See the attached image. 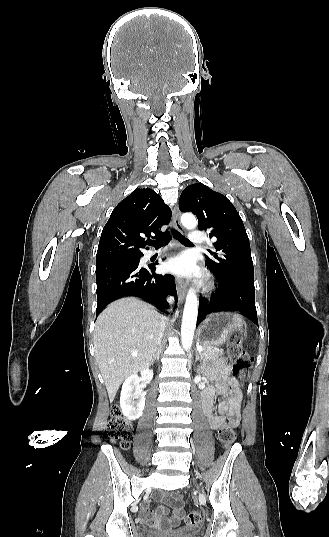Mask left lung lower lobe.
Masks as SVG:
<instances>
[{
    "instance_id": "0a47b994",
    "label": "left lung lower lobe",
    "mask_w": 329,
    "mask_h": 537,
    "mask_svg": "<svg viewBox=\"0 0 329 537\" xmlns=\"http://www.w3.org/2000/svg\"><path fill=\"white\" fill-rule=\"evenodd\" d=\"M217 288L210 297H200L197 324L201 317L215 311H235L258 325L255 307L254 281L243 279L221 280L217 277Z\"/></svg>"
}]
</instances>
